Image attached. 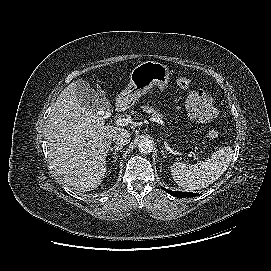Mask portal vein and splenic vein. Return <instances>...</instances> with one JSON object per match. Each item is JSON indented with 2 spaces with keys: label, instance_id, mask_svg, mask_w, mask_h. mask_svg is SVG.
<instances>
[{
  "label": "portal vein and splenic vein",
  "instance_id": "1",
  "mask_svg": "<svg viewBox=\"0 0 271 271\" xmlns=\"http://www.w3.org/2000/svg\"><path fill=\"white\" fill-rule=\"evenodd\" d=\"M129 119H126V118H119L116 120V124L118 126H127L129 124Z\"/></svg>",
  "mask_w": 271,
  "mask_h": 271
}]
</instances>
